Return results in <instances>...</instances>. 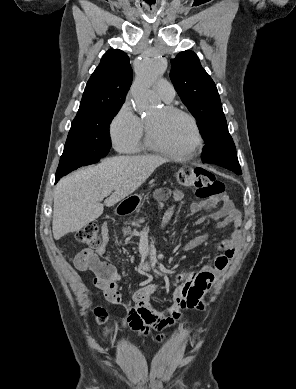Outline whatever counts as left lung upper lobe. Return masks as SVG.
Masks as SVG:
<instances>
[{
	"instance_id": "left-lung-upper-lobe-1",
	"label": "left lung upper lobe",
	"mask_w": 296,
	"mask_h": 389,
	"mask_svg": "<svg viewBox=\"0 0 296 389\" xmlns=\"http://www.w3.org/2000/svg\"><path fill=\"white\" fill-rule=\"evenodd\" d=\"M170 78L185 106L198 121L208 144L212 136L227 126L215 83L193 51L180 52L171 59Z\"/></svg>"
}]
</instances>
